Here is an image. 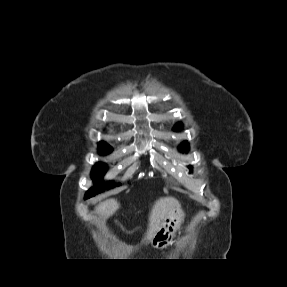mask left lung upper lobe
<instances>
[{"instance_id":"1","label":"left lung upper lobe","mask_w":287,"mask_h":287,"mask_svg":"<svg viewBox=\"0 0 287 287\" xmlns=\"http://www.w3.org/2000/svg\"><path fill=\"white\" fill-rule=\"evenodd\" d=\"M180 127H181V125L178 124V125L175 126L174 129L177 130V129H179ZM179 148H180L181 151L185 152V151L188 150V144H182V145L179 146Z\"/></svg>"}]
</instances>
